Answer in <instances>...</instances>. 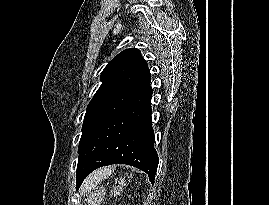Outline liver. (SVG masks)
<instances>
[{
  "mask_svg": "<svg viewBox=\"0 0 269 205\" xmlns=\"http://www.w3.org/2000/svg\"><path fill=\"white\" fill-rule=\"evenodd\" d=\"M108 172L109 171L106 169H101L93 173L87 180L88 186H94V184L102 180Z\"/></svg>",
  "mask_w": 269,
  "mask_h": 205,
  "instance_id": "1",
  "label": "liver"
}]
</instances>
